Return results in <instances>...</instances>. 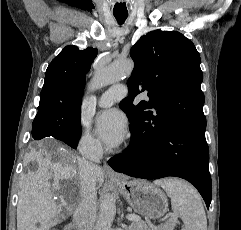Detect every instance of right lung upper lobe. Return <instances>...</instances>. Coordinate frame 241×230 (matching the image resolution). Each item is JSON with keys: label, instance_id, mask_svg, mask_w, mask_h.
<instances>
[{"label": "right lung upper lobe", "instance_id": "cb5924a9", "mask_svg": "<svg viewBox=\"0 0 241 230\" xmlns=\"http://www.w3.org/2000/svg\"><path fill=\"white\" fill-rule=\"evenodd\" d=\"M97 49L78 50L76 46H66L48 66L41 91L38 112L80 108L85 74L97 56Z\"/></svg>", "mask_w": 241, "mask_h": 230}]
</instances>
